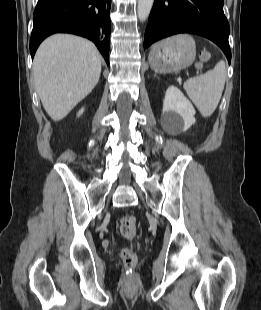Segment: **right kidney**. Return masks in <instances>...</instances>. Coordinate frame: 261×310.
<instances>
[{
  "label": "right kidney",
  "instance_id": "1",
  "mask_svg": "<svg viewBox=\"0 0 261 310\" xmlns=\"http://www.w3.org/2000/svg\"><path fill=\"white\" fill-rule=\"evenodd\" d=\"M83 111H84V109L82 108V109L78 112L77 116H80V115L83 113Z\"/></svg>",
  "mask_w": 261,
  "mask_h": 310
}]
</instances>
